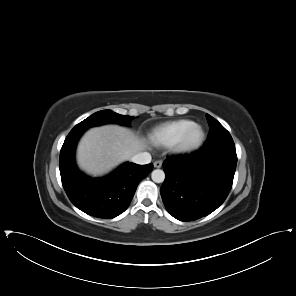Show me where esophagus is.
<instances>
[{
	"instance_id": "obj_1",
	"label": "esophagus",
	"mask_w": 296,
	"mask_h": 296,
	"mask_svg": "<svg viewBox=\"0 0 296 296\" xmlns=\"http://www.w3.org/2000/svg\"><path fill=\"white\" fill-rule=\"evenodd\" d=\"M155 168H161L162 166V161L161 160H157L153 163Z\"/></svg>"
}]
</instances>
